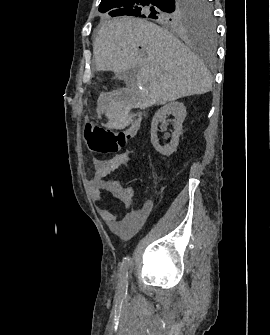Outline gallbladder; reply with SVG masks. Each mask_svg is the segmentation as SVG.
Listing matches in <instances>:
<instances>
[{
    "instance_id": "bac80fb5",
    "label": "gallbladder",
    "mask_w": 270,
    "mask_h": 335,
    "mask_svg": "<svg viewBox=\"0 0 270 335\" xmlns=\"http://www.w3.org/2000/svg\"><path fill=\"white\" fill-rule=\"evenodd\" d=\"M131 72H133L132 68L131 70H126V72H118L117 78H120V80H125V78L131 74Z\"/></svg>"
}]
</instances>
